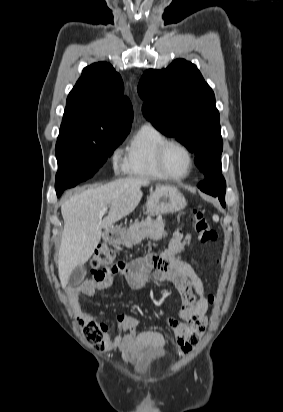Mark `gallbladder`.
I'll return each instance as SVG.
<instances>
[{
  "mask_svg": "<svg viewBox=\"0 0 283 412\" xmlns=\"http://www.w3.org/2000/svg\"><path fill=\"white\" fill-rule=\"evenodd\" d=\"M86 269L83 265L77 266L73 269L71 274L69 275L68 285L69 286H76L78 285L85 277Z\"/></svg>",
  "mask_w": 283,
  "mask_h": 412,
  "instance_id": "1",
  "label": "gallbladder"
}]
</instances>
